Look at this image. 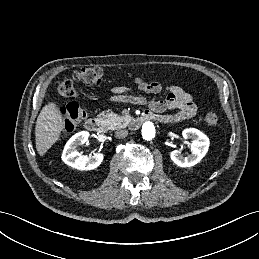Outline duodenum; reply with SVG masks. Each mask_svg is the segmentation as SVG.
<instances>
[{
  "label": "duodenum",
  "mask_w": 259,
  "mask_h": 259,
  "mask_svg": "<svg viewBox=\"0 0 259 259\" xmlns=\"http://www.w3.org/2000/svg\"><path fill=\"white\" fill-rule=\"evenodd\" d=\"M152 119V115L148 113H143L137 117L134 118V120L131 123V128L132 129H137L139 128L145 121ZM86 128L93 132V133H98V134H103L105 132V124L104 122L97 117H92L89 118L86 121Z\"/></svg>",
  "instance_id": "1"
}]
</instances>
